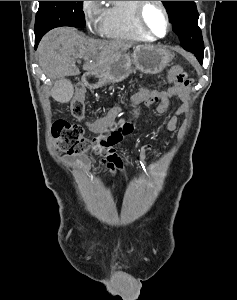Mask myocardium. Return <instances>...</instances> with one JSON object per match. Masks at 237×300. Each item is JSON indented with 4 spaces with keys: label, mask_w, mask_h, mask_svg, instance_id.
I'll return each instance as SVG.
<instances>
[{
    "label": "myocardium",
    "mask_w": 237,
    "mask_h": 300,
    "mask_svg": "<svg viewBox=\"0 0 237 300\" xmlns=\"http://www.w3.org/2000/svg\"><path fill=\"white\" fill-rule=\"evenodd\" d=\"M150 4H156L157 6H159V8L161 9V11L163 13V16L165 19V24H166V31L163 35L156 34L149 27V25L146 22L145 14H146V10ZM137 18H138V21H139L141 27L144 29V31L154 38H157V39L164 38L169 34V32L171 30V20H170L169 12L163 1H140L139 5L137 7Z\"/></svg>",
    "instance_id": "f54148a6"
}]
</instances>
